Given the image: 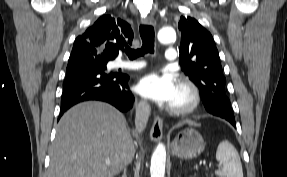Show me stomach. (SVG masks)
<instances>
[{
  "mask_svg": "<svg viewBox=\"0 0 287 177\" xmlns=\"http://www.w3.org/2000/svg\"><path fill=\"white\" fill-rule=\"evenodd\" d=\"M204 148L203 137L191 127L180 131L172 142V154L180 159L196 158L203 152Z\"/></svg>",
  "mask_w": 287,
  "mask_h": 177,
  "instance_id": "stomach-1",
  "label": "stomach"
}]
</instances>
